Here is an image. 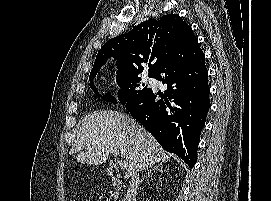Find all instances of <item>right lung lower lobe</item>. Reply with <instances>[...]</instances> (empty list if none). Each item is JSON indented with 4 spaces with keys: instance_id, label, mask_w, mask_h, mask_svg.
Returning a JSON list of instances; mask_svg holds the SVG:
<instances>
[{
    "instance_id": "obj_1",
    "label": "right lung lower lobe",
    "mask_w": 271,
    "mask_h": 201,
    "mask_svg": "<svg viewBox=\"0 0 271 201\" xmlns=\"http://www.w3.org/2000/svg\"><path fill=\"white\" fill-rule=\"evenodd\" d=\"M195 38L186 37L154 74L153 78L167 84L165 95L150 89L125 104L164 150L178 155L190 168L197 161L200 134L210 108L205 55ZM157 95L163 99L156 100Z\"/></svg>"
}]
</instances>
